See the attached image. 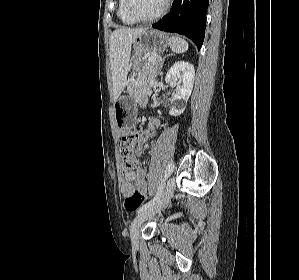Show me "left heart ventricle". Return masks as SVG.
<instances>
[{
	"label": "left heart ventricle",
	"mask_w": 299,
	"mask_h": 280,
	"mask_svg": "<svg viewBox=\"0 0 299 280\" xmlns=\"http://www.w3.org/2000/svg\"><path fill=\"white\" fill-rule=\"evenodd\" d=\"M165 0H133L134 13L142 18L155 15L163 6Z\"/></svg>",
	"instance_id": "left-heart-ventricle-1"
}]
</instances>
